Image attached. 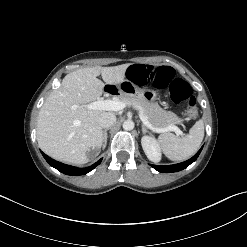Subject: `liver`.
<instances>
[{
	"instance_id": "1",
	"label": "liver",
	"mask_w": 247,
	"mask_h": 247,
	"mask_svg": "<svg viewBox=\"0 0 247 247\" xmlns=\"http://www.w3.org/2000/svg\"><path fill=\"white\" fill-rule=\"evenodd\" d=\"M130 65L95 66L67 74L39 111L37 140L40 148L50 157L72 164L87 163V152L91 149L98 153L103 142L99 116L104 111L91 110L86 105L102 96L105 85L125 81ZM100 74L105 83L97 78Z\"/></svg>"
}]
</instances>
